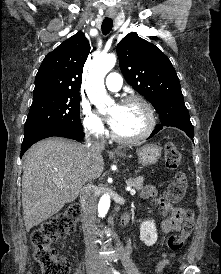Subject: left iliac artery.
Wrapping results in <instances>:
<instances>
[{
  "label": "left iliac artery",
  "mask_w": 221,
  "mask_h": 274,
  "mask_svg": "<svg viewBox=\"0 0 221 274\" xmlns=\"http://www.w3.org/2000/svg\"><path fill=\"white\" fill-rule=\"evenodd\" d=\"M113 274H120V273L116 270H113Z\"/></svg>",
  "instance_id": "obj_1"
}]
</instances>
